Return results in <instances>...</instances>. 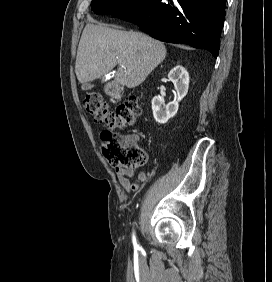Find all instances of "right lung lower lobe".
Here are the masks:
<instances>
[{"mask_svg":"<svg viewBox=\"0 0 272 282\" xmlns=\"http://www.w3.org/2000/svg\"><path fill=\"white\" fill-rule=\"evenodd\" d=\"M225 5L226 0H138L112 15L158 40L186 43L217 57Z\"/></svg>","mask_w":272,"mask_h":282,"instance_id":"obj_1","label":"right lung lower lobe"}]
</instances>
